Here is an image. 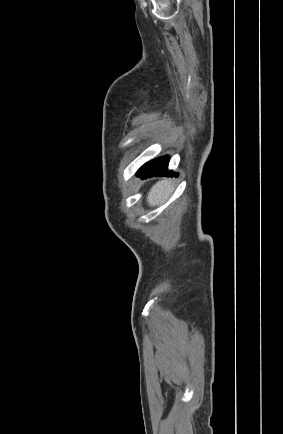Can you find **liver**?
<instances>
[{"label":"liver","instance_id":"1","mask_svg":"<svg viewBox=\"0 0 283 434\" xmlns=\"http://www.w3.org/2000/svg\"><path fill=\"white\" fill-rule=\"evenodd\" d=\"M174 187L169 179H162L157 182L148 193L147 201L149 205L155 206L163 204L173 192Z\"/></svg>","mask_w":283,"mask_h":434}]
</instances>
